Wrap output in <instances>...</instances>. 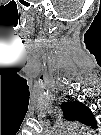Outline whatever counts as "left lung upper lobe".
<instances>
[{"instance_id": "left-lung-upper-lobe-1", "label": "left lung upper lobe", "mask_w": 101, "mask_h": 135, "mask_svg": "<svg viewBox=\"0 0 101 135\" xmlns=\"http://www.w3.org/2000/svg\"><path fill=\"white\" fill-rule=\"evenodd\" d=\"M66 120L79 121L83 124L90 125L92 121L91 111L78 101L66 102L61 105Z\"/></svg>"}]
</instances>
